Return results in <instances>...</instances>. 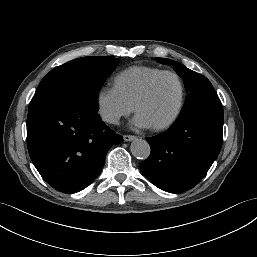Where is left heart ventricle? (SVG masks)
<instances>
[{
  "label": "left heart ventricle",
  "mask_w": 257,
  "mask_h": 257,
  "mask_svg": "<svg viewBox=\"0 0 257 257\" xmlns=\"http://www.w3.org/2000/svg\"><path fill=\"white\" fill-rule=\"evenodd\" d=\"M179 95L177 80L170 75L164 76L155 84L149 97L140 104L137 113L143 115L151 126L160 124L174 113Z\"/></svg>",
  "instance_id": "left-heart-ventricle-1"
}]
</instances>
